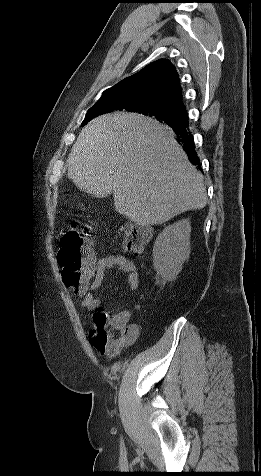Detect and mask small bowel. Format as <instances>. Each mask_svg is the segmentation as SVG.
<instances>
[{"label": "small bowel", "instance_id": "1", "mask_svg": "<svg viewBox=\"0 0 261 476\" xmlns=\"http://www.w3.org/2000/svg\"><path fill=\"white\" fill-rule=\"evenodd\" d=\"M117 269L126 275L128 289L134 291L139 285V275L135 264L122 255L110 254L101 259L93 258V271L91 281L86 288L76 291L82 296V306L94 313L101 308L100 300L95 296V292L100 288L105 275L110 269ZM130 313L126 310L120 311L113 315L109 320V325L115 329L122 331L125 335L123 345L110 355H117L127 345L131 344L139 334V326L129 323Z\"/></svg>", "mask_w": 261, "mask_h": 476}]
</instances>
